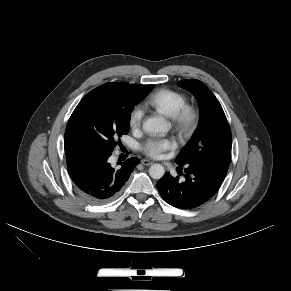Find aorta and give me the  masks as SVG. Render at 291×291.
Here are the masks:
<instances>
[{
    "label": "aorta",
    "mask_w": 291,
    "mask_h": 291,
    "mask_svg": "<svg viewBox=\"0 0 291 291\" xmlns=\"http://www.w3.org/2000/svg\"><path fill=\"white\" fill-rule=\"evenodd\" d=\"M169 123L161 116L150 117L143 123V130L147 133L165 134L169 131ZM165 174V169L161 164H153L149 168V175L153 179H161Z\"/></svg>",
    "instance_id": "obj_1"
}]
</instances>
